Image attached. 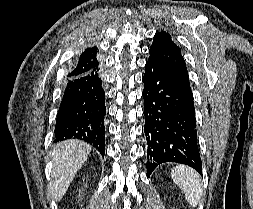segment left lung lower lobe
Wrapping results in <instances>:
<instances>
[{
	"instance_id": "obj_1",
	"label": "left lung lower lobe",
	"mask_w": 253,
	"mask_h": 209,
	"mask_svg": "<svg viewBox=\"0 0 253 209\" xmlns=\"http://www.w3.org/2000/svg\"><path fill=\"white\" fill-rule=\"evenodd\" d=\"M145 68L147 175L164 162L188 165L202 175L193 102L169 69L149 60Z\"/></svg>"
}]
</instances>
